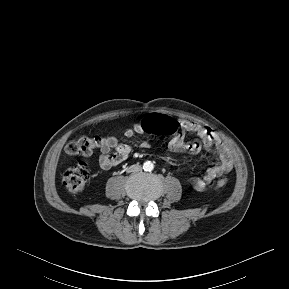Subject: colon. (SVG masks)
I'll list each match as a JSON object with an SVG mask.
<instances>
[{"label":"colon","instance_id":"colon-1","mask_svg":"<svg viewBox=\"0 0 289 289\" xmlns=\"http://www.w3.org/2000/svg\"><path fill=\"white\" fill-rule=\"evenodd\" d=\"M140 129L145 134L176 135L181 130V123L176 118L152 113L140 120ZM101 139L98 137L81 136L71 140L66 145V152L70 155L87 156L100 148ZM89 178V168L85 162H79L63 175V184L71 193H80L85 189ZM228 182L226 176L221 177L216 183V188L224 187Z\"/></svg>","mask_w":289,"mask_h":289}]
</instances>
